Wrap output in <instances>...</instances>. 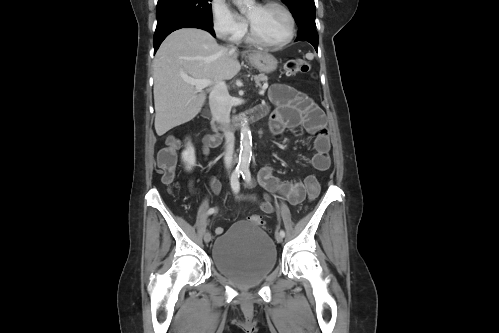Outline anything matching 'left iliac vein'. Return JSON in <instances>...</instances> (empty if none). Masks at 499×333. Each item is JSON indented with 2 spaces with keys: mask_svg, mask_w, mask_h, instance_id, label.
<instances>
[{
  "mask_svg": "<svg viewBox=\"0 0 499 333\" xmlns=\"http://www.w3.org/2000/svg\"><path fill=\"white\" fill-rule=\"evenodd\" d=\"M275 238H276V241H277L278 243H281V242L283 241V237L281 236V234H280V233H277V234L275 235Z\"/></svg>",
  "mask_w": 499,
  "mask_h": 333,
  "instance_id": "left-iliac-vein-1",
  "label": "left iliac vein"
}]
</instances>
